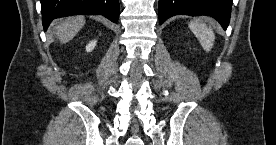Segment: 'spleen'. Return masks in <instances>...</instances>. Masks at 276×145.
I'll list each match as a JSON object with an SVG mask.
<instances>
[{"instance_id":"spleen-1","label":"spleen","mask_w":276,"mask_h":145,"mask_svg":"<svg viewBox=\"0 0 276 145\" xmlns=\"http://www.w3.org/2000/svg\"><path fill=\"white\" fill-rule=\"evenodd\" d=\"M189 28L195 34L203 49L209 52L215 40L213 30L198 20L191 21L189 23Z\"/></svg>"}]
</instances>
